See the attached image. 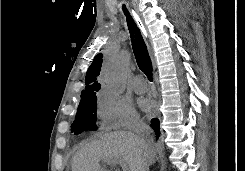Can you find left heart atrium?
<instances>
[{
  "label": "left heart atrium",
  "instance_id": "obj_1",
  "mask_svg": "<svg viewBox=\"0 0 245 171\" xmlns=\"http://www.w3.org/2000/svg\"><path fill=\"white\" fill-rule=\"evenodd\" d=\"M151 103H149V102H146V101H144L143 102V107L146 109V110H149L150 108H151Z\"/></svg>",
  "mask_w": 245,
  "mask_h": 171
}]
</instances>
